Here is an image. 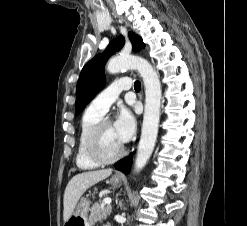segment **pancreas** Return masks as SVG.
<instances>
[{
    "mask_svg": "<svg viewBox=\"0 0 247 226\" xmlns=\"http://www.w3.org/2000/svg\"><path fill=\"white\" fill-rule=\"evenodd\" d=\"M112 208L110 205H105L103 203L94 204L93 208L91 209V213L89 216V221L91 223H95L98 221H102L107 219V217L111 214Z\"/></svg>",
    "mask_w": 247,
    "mask_h": 226,
    "instance_id": "cf45deb5",
    "label": "pancreas"
}]
</instances>
